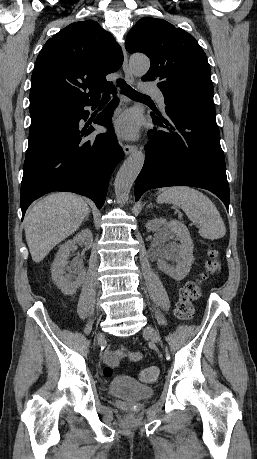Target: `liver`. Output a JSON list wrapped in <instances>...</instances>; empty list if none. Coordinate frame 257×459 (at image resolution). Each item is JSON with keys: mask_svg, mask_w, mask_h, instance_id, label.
<instances>
[{"mask_svg": "<svg viewBox=\"0 0 257 459\" xmlns=\"http://www.w3.org/2000/svg\"><path fill=\"white\" fill-rule=\"evenodd\" d=\"M89 214L87 203L71 193H53L30 208L25 236L34 262H41L59 242L74 233Z\"/></svg>", "mask_w": 257, "mask_h": 459, "instance_id": "1", "label": "liver"}]
</instances>
